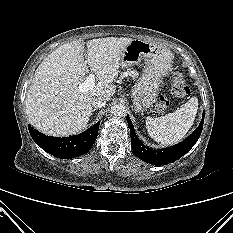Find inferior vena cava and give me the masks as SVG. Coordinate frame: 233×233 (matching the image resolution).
Wrapping results in <instances>:
<instances>
[{
  "instance_id": "1",
  "label": "inferior vena cava",
  "mask_w": 233,
  "mask_h": 233,
  "mask_svg": "<svg viewBox=\"0 0 233 233\" xmlns=\"http://www.w3.org/2000/svg\"><path fill=\"white\" fill-rule=\"evenodd\" d=\"M106 104V99L102 96H97L92 99V105L95 108H102Z\"/></svg>"
}]
</instances>
